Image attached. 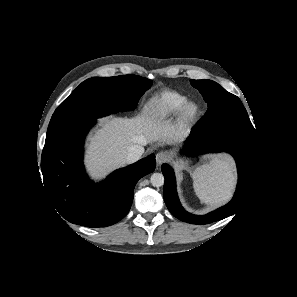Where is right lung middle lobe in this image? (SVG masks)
Masks as SVG:
<instances>
[{
    "instance_id": "right-lung-middle-lobe-1",
    "label": "right lung middle lobe",
    "mask_w": 297,
    "mask_h": 297,
    "mask_svg": "<svg viewBox=\"0 0 297 297\" xmlns=\"http://www.w3.org/2000/svg\"><path fill=\"white\" fill-rule=\"evenodd\" d=\"M151 85L152 80L137 75L85 80L55 110L45 143L97 118L135 108Z\"/></svg>"
}]
</instances>
